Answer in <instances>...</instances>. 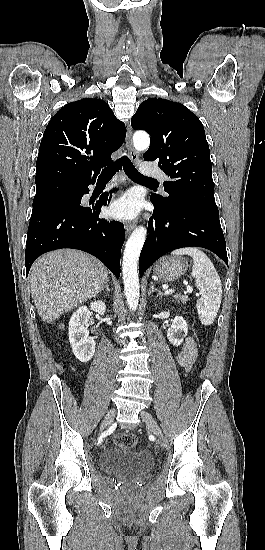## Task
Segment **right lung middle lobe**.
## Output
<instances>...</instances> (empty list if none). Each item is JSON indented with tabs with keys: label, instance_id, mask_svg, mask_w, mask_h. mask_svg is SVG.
I'll return each mask as SVG.
<instances>
[{
	"label": "right lung middle lobe",
	"instance_id": "1",
	"mask_svg": "<svg viewBox=\"0 0 265 550\" xmlns=\"http://www.w3.org/2000/svg\"><path fill=\"white\" fill-rule=\"evenodd\" d=\"M74 188L64 185H46L36 188L33 209L70 197Z\"/></svg>",
	"mask_w": 265,
	"mask_h": 550
}]
</instances>
